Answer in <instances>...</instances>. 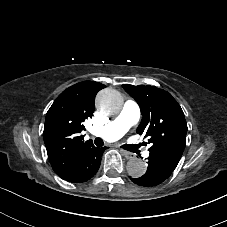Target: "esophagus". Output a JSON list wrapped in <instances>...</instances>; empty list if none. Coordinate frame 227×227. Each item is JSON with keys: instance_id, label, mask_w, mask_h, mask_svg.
<instances>
[{"instance_id": "1", "label": "esophagus", "mask_w": 227, "mask_h": 227, "mask_svg": "<svg viewBox=\"0 0 227 227\" xmlns=\"http://www.w3.org/2000/svg\"><path fill=\"white\" fill-rule=\"evenodd\" d=\"M121 154L124 155V157H126V159H132L135 157V154L132 152H128L125 150H120Z\"/></svg>"}]
</instances>
